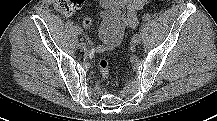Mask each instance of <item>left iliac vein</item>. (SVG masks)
Here are the masks:
<instances>
[{"mask_svg": "<svg viewBox=\"0 0 217 121\" xmlns=\"http://www.w3.org/2000/svg\"><path fill=\"white\" fill-rule=\"evenodd\" d=\"M131 42L133 45H138L141 42V35L140 34H135L132 39Z\"/></svg>", "mask_w": 217, "mask_h": 121, "instance_id": "obj_1", "label": "left iliac vein"}]
</instances>
